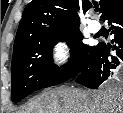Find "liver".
Listing matches in <instances>:
<instances>
[{
  "mask_svg": "<svg viewBox=\"0 0 123 113\" xmlns=\"http://www.w3.org/2000/svg\"><path fill=\"white\" fill-rule=\"evenodd\" d=\"M19 113H123V93L56 87L43 91Z\"/></svg>",
  "mask_w": 123,
  "mask_h": 113,
  "instance_id": "liver-1",
  "label": "liver"
}]
</instances>
